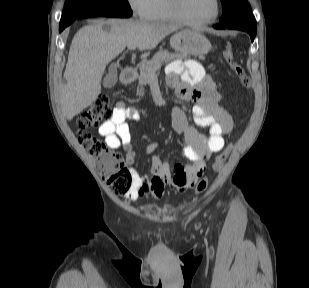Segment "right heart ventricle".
<instances>
[{"mask_svg":"<svg viewBox=\"0 0 309 288\" xmlns=\"http://www.w3.org/2000/svg\"><path fill=\"white\" fill-rule=\"evenodd\" d=\"M148 19L156 22H177L173 16L169 0H154Z\"/></svg>","mask_w":309,"mask_h":288,"instance_id":"1","label":"right heart ventricle"}]
</instances>
